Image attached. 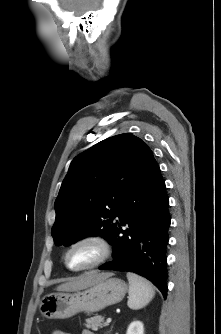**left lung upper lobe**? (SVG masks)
Returning <instances> with one entry per match:
<instances>
[{
	"label": "left lung upper lobe",
	"instance_id": "obj_1",
	"mask_svg": "<svg viewBox=\"0 0 221 334\" xmlns=\"http://www.w3.org/2000/svg\"><path fill=\"white\" fill-rule=\"evenodd\" d=\"M153 160L148 145L131 133L107 138L76 156L55 201V245L97 235L110 242L125 197Z\"/></svg>",
	"mask_w": 221,
	"mask_h": 334
}]
</instances>
